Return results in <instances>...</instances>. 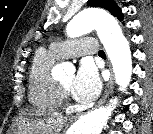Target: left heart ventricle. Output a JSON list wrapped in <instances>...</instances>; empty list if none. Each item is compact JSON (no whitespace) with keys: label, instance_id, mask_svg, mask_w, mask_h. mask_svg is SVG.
Here are the masks:
<instances>
[{"label":"left heart ventricle","instance_id":"b2bd125f","mask_svg":"<svg viewBox=\"0 0 153 134\" xmlns=\"http://www.w3.org/2000/svg\"><path fill=\"white\" fill-rule=\"evenodd\" d=\"M74 79V75L73 74H69L67 76H65L63 79L60 80V83L68 90H70L72 82Z\"/></svg>","mask_w":153,"mask_h":134}]
</instances>
